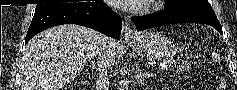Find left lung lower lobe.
Here are the masks:
<instances>
[{
	"mask_svg": "<svg viewBox=\"0 0 237 90\" xmlns=\"http://www.w3.org/2000/svg\"><path fill=\"white\" fill-rule=\"evenodd\" d=\"M138 31L174 23H203L217 29L222 34V27L215 14L187 9H166L151 15L132 17Z\"/></svg>",
	"mask_w": 237,
	"mask_h": 90,
	"instance_id": "obj_1",
	"label": "left lung lower lobe"
}]
</instances>
